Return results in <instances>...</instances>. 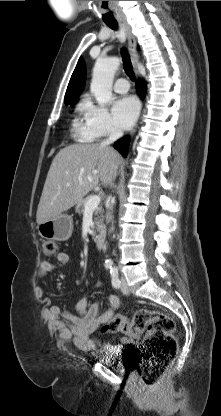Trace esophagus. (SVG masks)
Here are the masks:
<instances>
[{"instance_id": "34e87169", "label": "esophagus", "mask_w": 221, "mask_h": 416, "mask_svg": "<svg viewBox=\"0 0 221 416\" xmlns=\"http://www.w3.org/2000/svg\"><path fill=\"white\" fill-rule=\"evenodd\" d=\"M125 25V29L127 32V37H128V47H129V52L131 55V60L133 63V66L137 72V64L139 61V54L137 51V41L135 36L133 35L132 31H131V27L128 24H124ZM135 132V130L132 131L131 134H133Z\"/></svg>"}]
</instances>
